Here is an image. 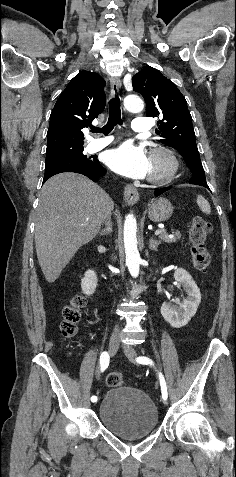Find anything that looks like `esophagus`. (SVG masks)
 I'll return each instance as SVG.
<instances>
[{"label":"esophagus","mask_w":236,"mask_h":477,"mask_svg":"<svg viewBox=\"0 0 236 477\" xmlns=\"http://www.w3.org/2000/svg\"><path fill=\"white\" fill-rule=\"evenodd\" d=\"M111 95L116 96L120 87L121 81L118 77L110 79ZM140 196L138 190L132 185H126L124 188V200L127 204L133 205L138 202Z\"/></svg>","instance_id":"esophagus-1"}]
</instances>
